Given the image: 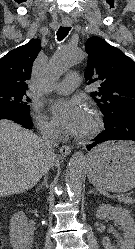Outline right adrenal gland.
I'll return each instance as SVG.
<instances>
[{
    "mask_svg": "<svg viewBox=\"0 0 135 249\" xmlns=\"http://www.w3.org/2000/svg\"><path fill=\"white\" fill-rule=\"evenodd\" d=\"M47 181H48V175L44 174V180L41 183L40 187L42 188L43 186H45L46 188H48V182Z\"/></svg>",
    "mask_w": 135,
    "mask_h": 249,
    "instance_id": "1",
    "label": "right adrenal gland"
}]
</instances>
